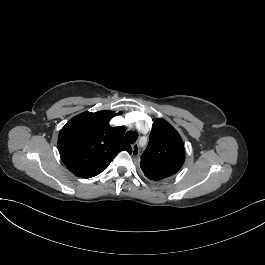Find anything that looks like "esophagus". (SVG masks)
I'll return each instance as SVG.
<instances>
[{
    "instance_id": "1",
    "label": "esophagus",
    "mask_w": 265,
    "mask_h": 265,
    "mask_svg": "<svg viewBox=\"0 0 265 265\" xmlns=\"http://www.w3.org/2000/svg\"><path fill=\"white\" fill-rule=\"evenodd\" d=\"M140 149H139V144L138 143H134L132 145V156L136 157L139 155Z\"/></svg>"
}]
</instances>
